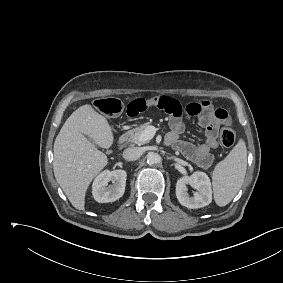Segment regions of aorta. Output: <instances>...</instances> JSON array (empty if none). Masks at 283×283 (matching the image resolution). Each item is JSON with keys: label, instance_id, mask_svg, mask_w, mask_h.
<instances>
[{"label": "aorta", "instance_id": "1", "mask_svg": "<svg viewBox=\"0 0 283 283\" xmlns=\"http://www.w3.org/2000/svg\"><path fill=\"white\" fill-rule=\"evenodd\" d=\"M161 162V156L157 153H149L147 155V163L149 165H154V164H158Z\"/></svg>", "mask_w": 283, "mask_h": 283}]
</instances>
